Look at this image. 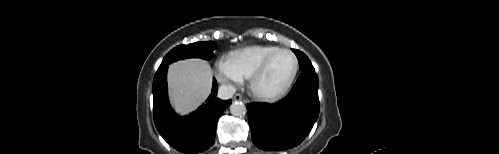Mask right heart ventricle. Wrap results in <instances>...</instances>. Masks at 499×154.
<instances>
[{
    "label": "right heart ventricle",
    "mask_w": 499,
    "mask_h": 154,
    "mask_svg": "<svg viewBox=\"0 0 499 154\" xmlns=\"http://www.w3.org/2000/svg\"><path fill=\"white\" fill-rule=\"evenodd\" d=\"M277 49L276 46L253 45L233 51L228 58L242 78L249 79L263 60Z\"/></svg>",
    "instance_id": "obj_1"
}]
</instances>
